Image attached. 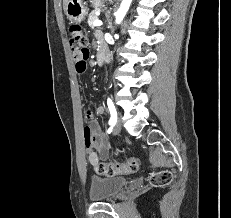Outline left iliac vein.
Wrapping results in <instances>:
<instances>
[{
  "label": "left iliac vein",
  "mask_w": 231,
  "mask_h": 218,
  "mask_svg": "<svg viewBox=\"0 0 231 218\" xmlns=\"http://www.w3.org/2000/svg\"><path fill=\"white\" fill-rule=\"evenodd\" d=\"M121 127H122L121 126V119H118L116 124L113 127V134H115V135L119 134L121 131Z\"/></svg>",
  "instance_id": "obj_1"
}]
</instances>
